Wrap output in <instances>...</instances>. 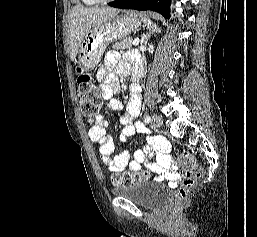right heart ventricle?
I'll use <instances>...</instances> for the list:
<instances>
[{
	"label": "right heart ventricle",
	"mask_w": 257,
	"mask_h": 237,
	"mask_svg": "<svg viewBox=\"0 0 257 237\" xmlns=\"http://www.w3.org/2000/svg\"><path fill=\"white\" fill-rule=\"evenodd\" d=\"M82 2L85 4V5H88V6H94L98 3L97 0H82Z\"/></svg>",
	"instance_id": "right-heart-ventricle-1"
}]
</instances>
